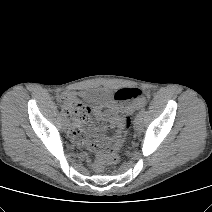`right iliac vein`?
<instances>
[{"label":"right iliac vein","instance_id":"right-iliac-vein-1","mask_svg":"<svg viewBox=\"0 0 212 212\" xmlns=\"http://www.w3.org/2000/svg\"><path fill=\"white\" fill-rule=\"evenodd\" d=\"M64 126H65L66 128H70L71 123H70L69 119H67V118L64 119Z\"/></svg>","mask_w":212,"mask_h":212}]
</instances>
